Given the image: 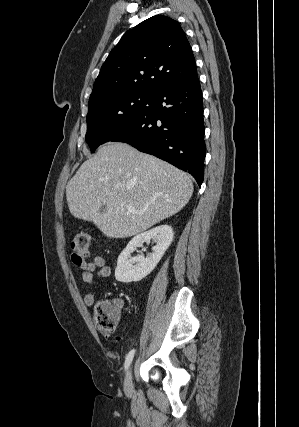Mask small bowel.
<instances>
[{
  "label": "small bowel",
  "instance_id": "c3829d8e",
  "mask_svg": "<svg viewBox=\"0 0 299 427\" xmlns=\"http://www.w3.org/2000/svg\"><path fill=\"white\" fill-rule=\"evenodd\" d=\"M76 265H78L80 269V274L83 281L87 285H93L97 278H106L111 274V268L106 264L104 257L96 256L92 262H82L77 263L74 261ZM97 276H95V273ZM95 302V294L93 292H88L84 297V303L87 306L93 305ZM116 304L122 307L123 302L121 300H117Z\"/></svg>",
  "mask_w": 299,
  "mask_h": 427
}]
</instances>
